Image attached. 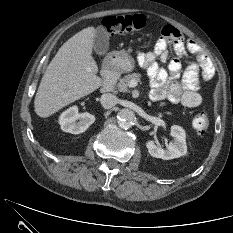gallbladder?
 <instances>
[{
  "label": "gallbladder",
  "instance_id": "gallbladder-1",
  "mask_svg": "<svg viewBox=\"0 0 233 233\" xmlns=\"http://www.w3.org/2000/svg\"><path fill=\"white\" fill-rule=\"evenodd\" d=\"M109 49V34L103 26L96 29L93 43L94 52L99 55H105Z\"/></svg>",
  "mask_w": 233,
  "mask_h": 233
}]
</instances>
